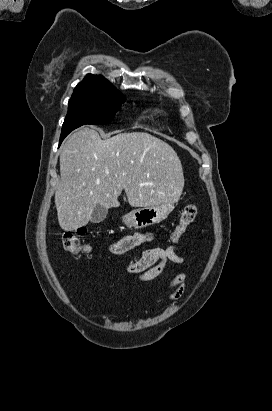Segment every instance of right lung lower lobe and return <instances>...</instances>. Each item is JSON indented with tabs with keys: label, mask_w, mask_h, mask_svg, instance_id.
<instances>
[{
	"label": "right lung lower lobe",
	"mask_w": 272,
	"mask_h": 411,
	"mask_svg": "<svg viewBox=\"0 0 272 411\" xmlns=\"http://www.w3.org/2000/svg\"><path fill=\"white\" fill-rule=\"evenodd\" d=\"M64 138H65V137H60V144H61V142L63 141Z\"/></svg>",
	"instance_id": "1"
}]
</instances>
